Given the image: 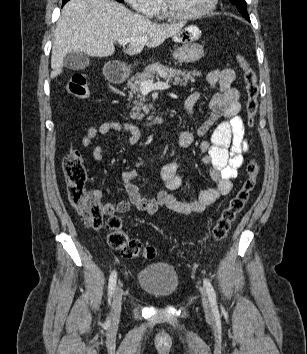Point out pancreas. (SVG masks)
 <instances>
[{"instance_id": "obj_1", "label": "pancreas", "mask_w": 307, "mask_h": 354, "mask_svg": "<svg viewBox=\"0 0 307 354\" xmlns=\"http://www.w3.org/2000/svg\"><path fill=\"white\" fill-rule=\"evenodd\" d=\"M201 72L197 70L185 71L180 69H175L162 65L160 63H155L147 66L142 73L136 74L128 81V87L130 88L128 101L134 97L140 100H134L135 105L132 108L130 117L132 119H142L146 114L149 113L150 108L144 105L145 99L141 96V82L145 80H151L153 78H163L167 82H172L173 85H186L189 81H194L195 77H200Z\"/></svg>"}]
</instances>
